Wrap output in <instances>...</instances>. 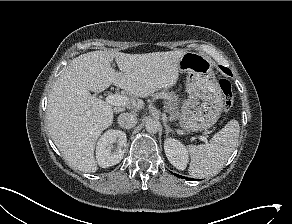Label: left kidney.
Instances as JSON below:
<instances>
[{
  "label": "left kidney",
  "mask_w": 292,
  "mask_h": 224,
  "mask_svg": "<svg viewBox=\"0 0 292 224\" xmlns=\"http://www.w3.org/2000/svg\"><path fill=\"white\" fill-rule=\"evenodd\" d=\"M164 150L169 162L178 170H185L188 163V150L174 138H167L164 141Z\"/></svg>",
  "instance_id": "5707ae66"
}]
</instances>
